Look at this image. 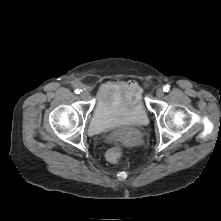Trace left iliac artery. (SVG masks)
<instances>
[{
	"label": "left iliac artery",
	"instance_id": "44dca946",
	"mask_svg": "<svg viewBox=\"0 0 221 221\" xmlns=\"http://www.w3.org/2000/svg\"><path fill=\"white\" fill-rule=\"evenodd\" d=\"M169 87H170L169 85H165L164 88H163V90H164L165 92H168L169 89H170Z\"/></svg>",
	"mask_w": 221,
	"mask_h": 221
}]
</instances>
